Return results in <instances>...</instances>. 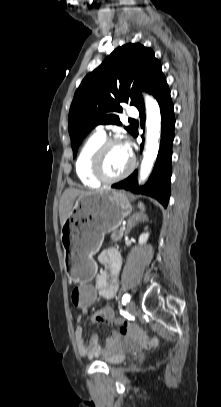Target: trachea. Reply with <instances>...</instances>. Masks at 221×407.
<instances>
[{"label": "trachea", "mask_w": 221, "mask_h": 407, "mask_svg": "<svg viewBox=\"0 0 221 407\" xmlns=\"http://www.w3.org/2000/svg\"><path fill=\"white\" fill-rule=\"evenodd\" d=\"M130 121H134V119H130Z\"/></svg>", "instance_id": "1"}]
</instances>
